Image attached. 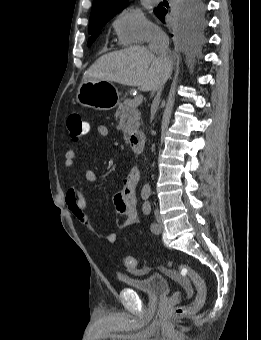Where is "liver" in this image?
Listing matches in <instances>:
<instances>
[{
	"label": "liver",
	"mask_w": 261,
	"mask_h": 340,
	"mask_svg": "<svg viewBox=\"0 0 261 340\" xmlns=\"http://www.w3.org/2000/svg\"><path fill=\"white\" fill-rule=\"evenodd\" d=\"M171 68L170 57L156 56L145 47L133 46L101 56L85 71L83 81L98 79L155 91Z\"/></svg>",
	"instance_id": "liver-1"
}]
</instances>
